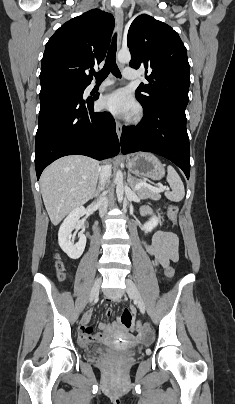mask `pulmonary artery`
I'll use <instances>...</instances> for the list:
<instances>
[{"instance_id":"1","label":"pulmonary artery","mask_w":235,"mask_h":404,"mask_svg":"<svg viewBox=\"0 0 235 404\" xmlns=\"http://www.w3.org/2000/svg\"><path fill=\"white\" fill-rule=\"evenodd\" d=\"M123 75L127 79H135V78L138 77L136 71L134 69H131V68H125L123 70ZM112 84H113V81L105 80L100 85H96L95 83L91 84L89 89H94L95 87L105 88V87H108V86H110Z\"/></svg>"}]
</instances>
